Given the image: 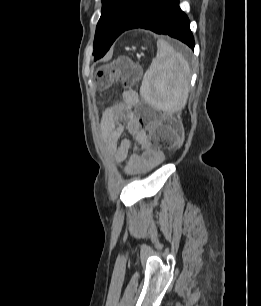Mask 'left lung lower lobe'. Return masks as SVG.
Here are the masks:
<instances>
[{
	"instance_id": "left-lung-lower-lobe-1",
	"label": "left lung lower lobe",
	"mask_w": 261,
	"mask_h": 306,
	"mask_svg": "<svg viewBox=\"0 0 261 306\" xmlns=\"http://www.w3.org/2000/svg\"><path fill=\"white\" fill-rule=\"evenodd\" d=\"M134 28L169 35L194 49L189 19L180 9L178 0H145L124 31Z\"/></svg>"
}]
</instances>
